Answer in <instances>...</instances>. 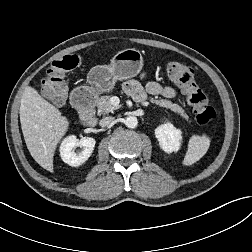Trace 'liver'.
<instances>
[{"label":"liver","mask_w":252,"mask_h":252,"mask_svg":"<svg viewBox=\"0 0 252 252\" xmlns=\"http://www.w3.org/2000/svg\"><path fill=\"white\" fill-rule=\"evenodd\" d=\"M19 113L24 140L31 156L41 167L53 172L54 152L68 130V119L32 87H26Z\"/></svg>","instance_id":"1"}]
</instances>
